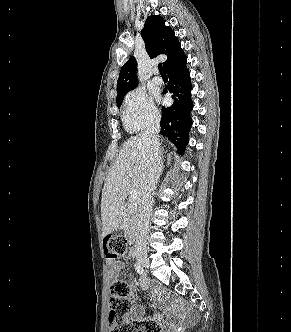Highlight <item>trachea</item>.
Returning <instances> with one entry per match:
<instances>
[{"mask_svg": "<svg viewBox=\"0 0 291 332\" xmlns=\"http://www.w3.org/2000/svg\"><path fill=\"white\" fill-rule=\"evenodd\" d=\"M158 69H159V72H160L161 75H166V73H165V71H164V69L162 67V64L158 65Z\"/></svg>", "mask_w": 291, "mask_h": 332, "instance_id": "obj_1", "label": "trachea"}]
</instances>
